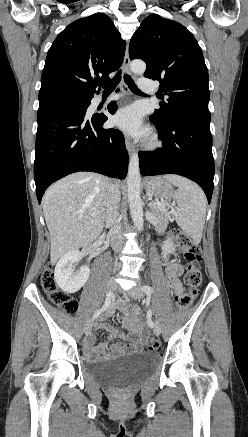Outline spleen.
<instances>
[{"label": "spleen", "instance_id": "3e777b00", "mask_svg": "<svg viewBox=\"0 0 248 437\" xmlns=\"http://www.w3.org/2000/svg\"><path fill=\"white\" fill-rule=\"evenodd\" d=\"M164 179L178 187L172 193L178 205L177 224L198 244L201 241L206 218V198L202 189L182 176L168 174Z\"/></svg>", "mask_w": 248, "mask_h": 437}]
</instances>
